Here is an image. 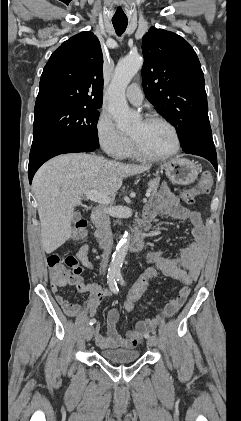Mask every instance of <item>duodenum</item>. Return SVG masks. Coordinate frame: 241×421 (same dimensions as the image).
<instances>
[{
    "label": "duodenum",
    "instance_id": "410a0bca",
    "mask_svg": "<svg viewBox=\"0 0 241 421\" xmlns=\"http://www.w3.org/2000/svg\"><path fill=\"white\" fill-rule=\"evenodd\" d=\"M150 223V220L148 218H145L144 223H143V227L140 231H138L135 236L133 237L132 241H131V250L133 252L139 251L142 249L143 245H144V232L147 229L148 225ZM95 236L97 238V240L99 241L100 245L102 247H104L105 245V238H104V234L102 232L101 229H97Z\"/></svg>",
    "mask_w": 241,
    "mask_h": 421
}]
</instances>
